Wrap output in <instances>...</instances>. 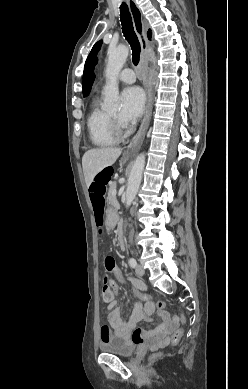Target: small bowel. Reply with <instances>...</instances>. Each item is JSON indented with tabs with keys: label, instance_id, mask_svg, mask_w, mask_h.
I'll return each mask as SVG.
<instances>
[{
	"label": "small bowel",
	"instance_id": "small-bowel-1",
	"mask_svg": "<svg viewBox=\"0 0 248 389\" xmlns=\"http://www.w3.org/2000/svg\"><path fill=\"white\" fill-rule=\"evenodd\" d=\"M124 282H131L134 289H145L144 283L133 277H125ZM120 287V286H119ZM120 292V290H119ZM111 300L107 302L108 320L110 326H102L100 332L101 341L107 340L110 336L116 335L125 340H130L135 344L144 345L150 349H155L165 345L169 339V335L177 326V321L168 312L161 311L159 316L162 322L153 330H142L137 328V324L142 321H150L151 314L155 308H151L148 303H135L128 319L123 317L122 310L117 307V295L112 291ZM119 294V293H118Z\"/></svg>",
	"mask_w": 248,
	"mask_h": 389
}]
</instances>
